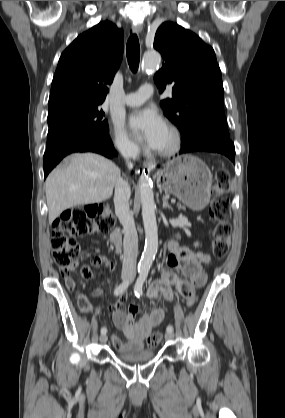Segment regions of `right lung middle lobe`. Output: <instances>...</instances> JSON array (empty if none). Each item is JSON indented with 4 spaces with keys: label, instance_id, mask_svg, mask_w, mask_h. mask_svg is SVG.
<instances>
[{
    "label": "right lung middle lobe",
    "instance_id": "dd1d6c3e",
    "mask_svg": "<svg viewBox=\"0 0 285 418\" xmlns=\"http://www.w3.org/2000/svg\"><path fill=\"white\" fill-rule=\"evenodd\" d=\"M101 104L75 100L49 104L47 148L75 135L109 136Z\"/></svg>",
    "mask_w": 285,
    "mask_h": 418
}]
</instances>
